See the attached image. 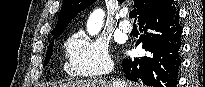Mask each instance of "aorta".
Listing matches in <instances>:
<instances>
[{
  "mask_svg": "<svg viewBox=\"0 0 205 87\" xmlns=\"http://www.w3.org/2000/svg\"><path fill=\"white\" fill-rule=\"evenodd\" d=\"M105 12L101 8L95 9L87 21V32L94 36L98 34L103 26Z\"/></svg>",
  "mask_w": 205,
  "mask_h": 87,
  "instance_id": "1",
  "label": "aorta"
}]
</instances>
